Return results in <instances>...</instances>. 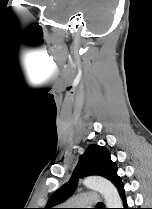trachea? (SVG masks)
I'll return each instance as SVG.
<instances>
[{"mask_svg": "<svg viewBox=\"0 0 152 209\" xmlns=\"http://www.w3.org/2000/svg\"><path fill=\"white\" fill-rule=\"evenodd\" d=\"M104 204L102 203V202H99L98 204H97V207H102Z\"/></svg>", "mask_w": 152, "mask_h": 209, "instance_id": "3493384b", "label": "trachea"}]
</instances>
